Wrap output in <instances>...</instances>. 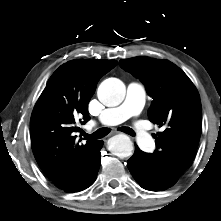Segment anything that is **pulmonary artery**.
I'll use <instances>...</instances> for the list:
<instances>
[{
    "instance_id": "e3ab8cb5",
    "label": "pulmonary artery",
    "mask_w": 221,
    "mask_h": 221,
    "mask_svg": "<svg viewBox=\"0 0 221 221\" xmlns=\"http://www.w3.org/2000/svg\"><path fill=\"white\" fill-rule=\"evenodd\" d=\"M146 93L142 84L132 82L127 86L126 96L123 103L115 108L105 109L98 116V122L104 126L117 125L131 117L138 115L145 104ZM139 146L150 151L154 148V141L150 134L140 126L135 131Z\"/></svg>"
}]
</instances>
